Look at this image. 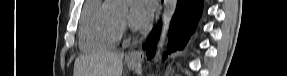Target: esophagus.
<instances>
[{"label": "esophagus", "instance_id": "34e87169", "mask_svg": "<svg viewBox=\"0 0 287 76\" xmlns=\"http://www.w3.org/2000/svg\"><path fill=\"white\" fill-rule=\"evenodd\" d=\"M128 59L131 61L142 62L144 60V53L140 50H132L128 54Z\"/></svg>", "mask_w": 287, "mask_h": 76}]
</instances>
